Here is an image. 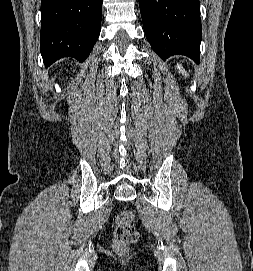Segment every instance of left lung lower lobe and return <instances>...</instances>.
I'll list each match as a JSON object with an SVG mask.
<instances>
[{
  "label": "left lung lower lobe",
  "mask_w": 253,
  "mask_h": 271,
  "mask_svg": "<svg viewBox=\"0 0 253 271\" xmlns=\"http://www.w3.org/2000/svg\"><path fill=\"white\" fill-rule=\"evenodd\" d=\"M146 37L163 59L186 55L200 62L199 0H139Z\"/></svg>",
  "instance_id": "0a47b994"
}]
</instances>
